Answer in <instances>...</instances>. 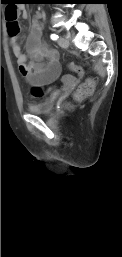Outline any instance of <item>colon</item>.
I'll return each mask as SVG.
<instances>
[{"instance_id":"obj_1","label":"colon","mask_w":122,"mask_h":257,"mask_svg":"<svg viewBox=\"0 0 122 257\" xmlns=\"http://www.w3.org/2000/svg\"><path fill=\"white\" fill-rule=\"evenodd\" d=\"M6 10L7 29L10 36L17 35L19 33V24L17 22V10L18 5H4ZM68 65L76 72V79H83V70L80 66H77L76 61H69ZM95 87L93 79H87L77 89L76 98L81 99L90 95ZM48 90L44 85H30V89H27V94H30L31 98H46Z\"/></svg>"}]
</instances>
